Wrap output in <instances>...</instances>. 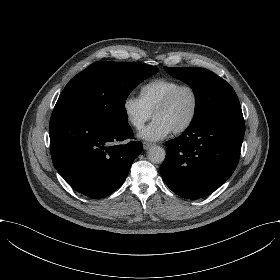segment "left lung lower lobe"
Segmentation results:
<instances>
[{
    "instance_id": "obj_1",
    "label": "left lung lower lobe",
    "mask_w": 280,
    "mask_h": 280,
    "mask_svg": "<svg viewBox=\"0 0 280 280\" xmlns=\"http://www.w3.org/2000/svg\"><path fill=\"white\" fill-rule=\"evenodd\" d=\"M245 133L241 108L224 111L190 125L167 141L161 176L186 199L207 196L234 172Z\"/></svg>"
}]
</instances>
